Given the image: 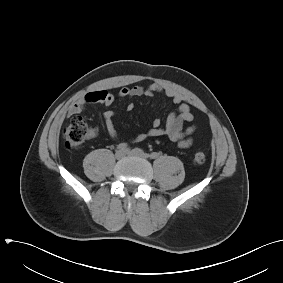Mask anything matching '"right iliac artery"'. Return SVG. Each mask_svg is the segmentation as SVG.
Returning <instances> with one entry per match:
<instances>
[{
    "label": "right iliac artery",
    "mask_w": 283,
    "mask_h": 283,
    "mask_svg": "<svg viewBox=\"0 0 283 283\" xmlns=\"http://www.w3.org/2000/svg\"><path fill=\"white\" fill-rule=\"evenodd\" d=\"M117 149L118 150H126L128 149V145L126 143H120L118 146H117Z\"/></svg>",
    "instance_id": "82829eb1"
}]
</instances>
